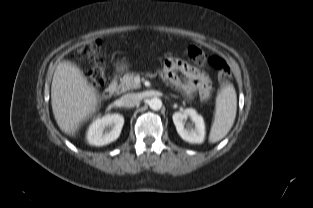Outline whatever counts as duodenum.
Returning a JSON list of instances; mask_svg holds the SVG:
<instances>
[{
	"label": "duodenum",
	"instance_id": "1",
	"mask_svg": "<svg viewBox=\"0 0 313 208\" xmlns=\"http://www.w3.org/2000/svg\"><path fill=\"white\" fill-rule=\"evenodd\" d=\"M117 84L115 82H111L103 91V96L106 99H109L112 97V95L114 94L115 90H116Z\"/></svg>",
	"mask_w": 313,
	"mask_h": 208
}]
</instances>
